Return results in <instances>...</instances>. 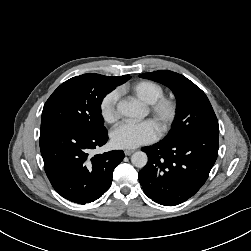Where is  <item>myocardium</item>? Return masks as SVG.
Returning <instances> with one entry per match:
<instances>
[{
  "label": "myocardium",
  "instance_id": "1",
  "mask_svg": "<svg viewBox=\"0 0 251 251\" xmlns=\"http://www.w3.org/2000/svg\"><path fill=\"white\" fill-rule=\"evenodd\" d=\"M147 110L156 122L160 133H165L177 117L178 105L174 99L162 96L148 104Z\"/></svg>",
  "mask_w": 251,
  "mask_h": 251
}]
</instances>
